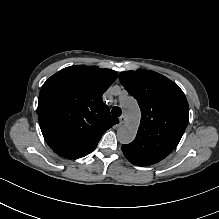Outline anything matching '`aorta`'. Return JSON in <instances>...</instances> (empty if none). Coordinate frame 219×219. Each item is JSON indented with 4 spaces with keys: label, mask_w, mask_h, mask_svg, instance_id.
I'll return each mask as SVG.
<instances>
[{
    "label": "aorta",
    "mask_w": 219,
    "mask_h": 219,
    "mask_svg": "<svg viewBox=\"0 0 219 219\" xmlns=\"http://www.w3.org/2000/svg\"><path fill=\"white\" fill-rule=\"evenodd\" d=\"M121 107L123 108L127 121L118 129L117 138L122 144L131 143L137 134L140 122V109L133 97H125L121 100Z\"/></svg>",
    "instance_id": "aorta-1"
}]
</instances>
